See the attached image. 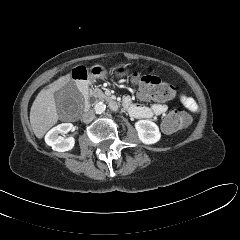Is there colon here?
Wrapping results in <instances>:
<instances>
[{"mask_svg":"<svg viewBox=\"0 0 240 240\" xmlns=\"http://www.w3.org/2000/svg\"><path fill=\"white\" fill-rule=\"evenodd\" d=\"M133 83L138 88L139 97L143 100L167 101L174 97V87L159 78L147 74H133ZM190 123V117L181 109L171 110L162 122V128L167 133L176 132Z\"/></svg>","mask_w":240,"mask_h":240,"instance_id":"1","label":"colon"}]
</instances>
